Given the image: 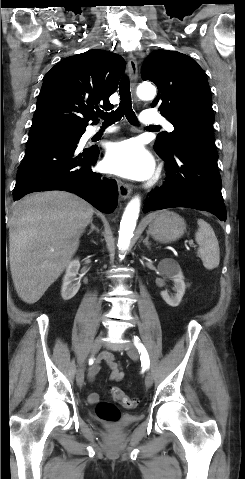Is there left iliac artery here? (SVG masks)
<instances>
[{
    "instance_id": "left-iliac-artery-1",
    "label": "left iliac artery",
    "mask_w": 245,
    "mask_h": 479,
    "mask_svg": "<svg viewBox=\"0 0 245 479\" xmlns=\"http://www.w3.org/2000/svg\"><path fill=\"white\" fill-rule=\"evenodd\" d=\"M134 344H135L136 348L138 349L139 354H141V356H140L141 362L143 363V365L146 368H149L150 360H149L148 352H147L146 348L144 347V345L140 342V339L137 336L134 337Z\"/></svg>"
}]
</instances>
